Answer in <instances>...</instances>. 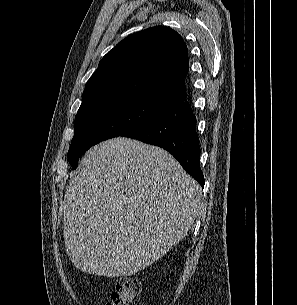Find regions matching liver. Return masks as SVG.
Wrapping results in <instances>:
<instances>
[{"mask_svg":"<svg viewBox=\"0 0 297 305\" xmlns=\"http://www.w3.org/2000/svg\"><path fill=\"white\" fill-rule=\"evenodd\" d=\"M201 197L199 184L162 148L104 141L86 153L66 189V253L89 274L134 275L186 236Z\"/></svg>","mask_w":297,"mask_h":305,"instance_id":"obj_1","label":"liver"}]
</instances>
